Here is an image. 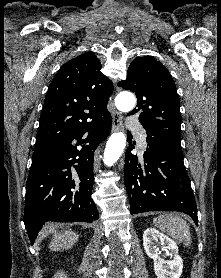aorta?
<instances>
[{
    "label": "aorta",
    "mask_w": 221,
    "mask_h": 278,
    "mask_svg": "<svg viewBox=\"0 0 221 278\" xmlns=\"http://www.w3.org/2000/svg\"><path fill=\"white\" fill-rule=\"evenodd\" d=\"M135 97L131 93H122L115 99L116 107L120 111H130L135 106ZM126 146V136L123 132H117L110 136L104 150V164L113 165L122 155Z\"/></svg>",
    "instance_id": "1"
}]
</instances>
